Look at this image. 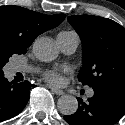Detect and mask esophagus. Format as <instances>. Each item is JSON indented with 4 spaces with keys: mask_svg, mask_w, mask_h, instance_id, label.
<instances>
[{
    "mask_svg": "<svg viewBox=\"0 0 125 125\" xmlns=\"http://www.w3.org/2000/svg\"><path fill=\"white\" fill-rule=\"evenodd\" d=\"M50 89L52 90V92H54L57 95H63L64 94L63 90L56 89V88H53V87H50Z\"/></svg>",
    "mask_w": 125,
    "mask_h": 125,
    "instance_id": "obj_1",
    "label": "esophagus"
}]
</instances>
